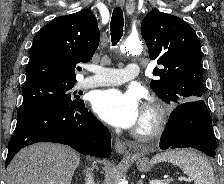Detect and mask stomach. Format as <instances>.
Returning a JSON list of instances; mask_svg holds the SVG:
<instances>
[{
  "label": "stomach",
  "mask_w": 224,
  "mask_h": 184,
  "mask_svg": "<svg viewBox=\"0 0 224 184\" xmlns=\"http://www.w3.org/2000/svg\"><path fill=\"white\" fill-rule=\"evenodd\" d=\"M137 169L140 172H148L152 169L153 163L149 161L147 158H138L136 161Z\"/></svg>",
  "instance_id": "stomach-1"
}]
</instances>
